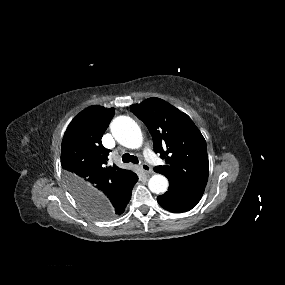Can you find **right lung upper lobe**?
<instances>
[{
	"label": "right lung upper lobe",
	"mask_w": 285,
	"mask_h": 285,
	"mask_svg": "<svg viewBox=\"0 0 285 285\" xmlns=\"http://www.w3.org/2000/svg\"><path fill=\"white\" fill-rule=\"evenodd\" d=\"M115 111L91 106L69 124L61 146V165L71 191L84 206L123 187L135 174L130 170L107 167L108 155L101 138Z\"/></svg>",
	"instance_id": "right-lung-upper-lobe-1"
}]
</instances>
